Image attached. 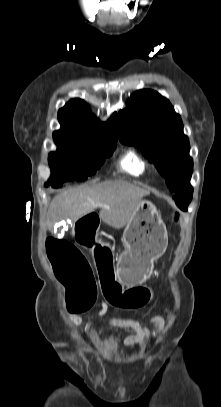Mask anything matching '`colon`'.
<instances>
[{
    "label": "colon",
    "instance_id": "1",
    "mask_svg": "<svg viewBox=\"0 0 221 407\" xmlns=\"http://www.w3.org/2000/svg\"><path fill=\"white\" fill-rule=\"evenodd\" d=\"M87 216H77L72 232L77 239L90 245L92 239H101L102 232L97 220V211L88 210ZM174 222L180 219V212L174 214ZM49 260L57 278L66 288V297L73 313L90 309L97 296V282L89 262L72 243L57 238L46 242ZM98 279L108 306L115 311H140L158 298L155 283H131L123 291L116 280L113 259L103 248L96 249Z\"/></svg>",
    "mask_w": 221,
    "mask_h": 407
}]
</instances>
